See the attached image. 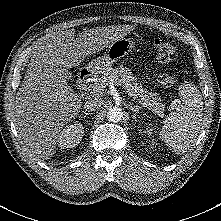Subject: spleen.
<instances>
[{
    "instance_id": "spleen-1",
    "label": "spleen",
    "mask_w": 221,
    "mask_h": 221,
    "mask_svg": "<svg viewBox=\"0 0 221 221\" xmlns=\"http://www.w3.org/2000/svg\"><path fill=\"white\" fill-rule=\"evenodd\" d=\"M176 111L165 119L160 136L177 155L184 154L196 139L202 122L203 102L198 88L189 82L179 86Z\"/></svg>"
}]
</instances>
